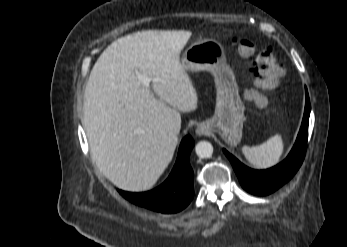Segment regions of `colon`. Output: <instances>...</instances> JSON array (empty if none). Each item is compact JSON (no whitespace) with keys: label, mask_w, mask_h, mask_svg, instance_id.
Returning <instances> with one entry per match:
<instances>
[{"label":"colon","mask_w":347,"mask_h":247,"mask_svg":"<svg viewBox=\"0 0 347 247\" xmlns=\"http://www.w3.org/2000/svg\"><path fill=\"white\" fill-rule=\"evenodd\" d=\"M233 42L241 56L253 59L250 72L254 80V89L249 91L246 97L250 102L260 103L264 92L273 91L279 86L283 68L271 47L256 49L251 40L237 37Z\"/></svg>","instance_id":"5ec220e1"}]
</instances>
